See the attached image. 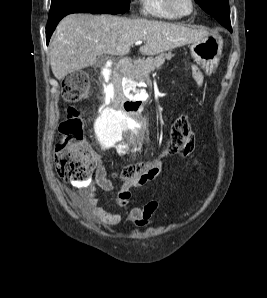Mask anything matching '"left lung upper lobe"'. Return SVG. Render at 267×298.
I'll list each match as a JSON object with an SVG mask.
<instances>
[{"instance_id":"obj_1","label":"left lung upper lobe","mask_w":267,"mask_h":298,"mask_svg":"<svg viewBox=\"0 0 267 298\" xmlns=\"http://www.w3.org/2000/svg\"><path fill=\"white\" fill-rule=\"evenodd\" d=\"M201 8L219 22L230 21L228 0H195Z\"/></svg>"}]
</instances>
